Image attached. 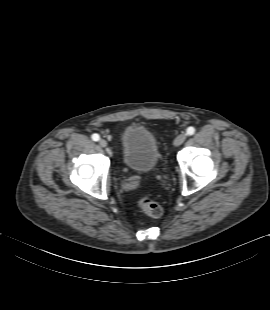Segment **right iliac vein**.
I'll use <instances>...</instances> for the list:
<instances>
[{
	"label": "right iliac vein",
	"mask_w": 270,
	"mask_h": 310,
	"mask_svg": "<svg viewBox=\"0 0 270 310\" xmlns=\"http://www.w3.org/2000/svg\"><path fill=\"white\" fill-rule=\"evenodd\" d=\"M99 145H100L101 147H106V146H107V141H106L105 139H100V140H99Z\"/></svg>",
	"instance_id": "63e3f726"
}]
</instances>
